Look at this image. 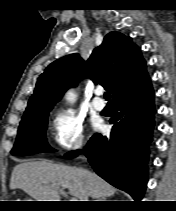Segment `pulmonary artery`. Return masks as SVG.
Segmentation results:
<instances>
[{
  "instance_id": "e3ab8cb5",
  "label": "pulmonary artery",
  "mask_w": 176,
  "mask_h": 211,
  "mask_svg": "<svg viewBox=\"0 0 176 211\" xmlns=\"http://www.w3.org/2000/svg\"><path fill=\"white\" fill-rule=\"evenodd\" d=\"M102 90L97 91V96L93 100V106L96 110L101 111L105 108V102L101 98Z\"/></svg>"
}]
</instances>
